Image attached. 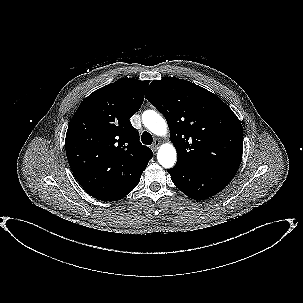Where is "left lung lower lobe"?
<instances>
[{
    "label": "left lung lower lobe",
    "mask_w": 303,
    "mask_h": 303,
    "mask_svg": "<svg viewBox=\"0 0 303 303\" xmlns=\"http://www.w3.org/2000/svg\"><path fill=\"white\" fill-rule=\"evenodd\" d=\"M167 171L175 186L195 200H204L219 193L237 172L226 167L189 168L177 164Z\"/></svg>",
    "instance_id": "1"
}]
</instances>
